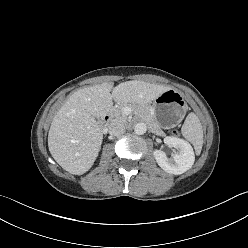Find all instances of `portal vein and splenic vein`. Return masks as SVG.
I'll list each match as a JSON object with an SVG mask.
<instances>
[{
	"mask_svg": "<svg viewBox=\"0 0 248 248\" xmlns=\"http://www.w3.org/2000/svg\"><path fill=\"white\" fill-rule=\"evenodd\" d=\"M125 112H128L129 110H128V108H125V110H124Z\"/></svg>",
	"mask_w": 248,
	"mask_h": 248,
	"instance_id": "obj_1",
	"label": "portal vein and splenic vein"
}]
</instances>
